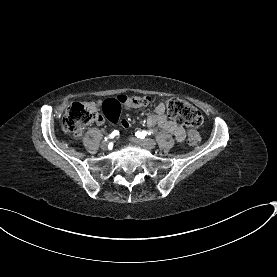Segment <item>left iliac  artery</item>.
<instances>
[{
    "label": "left iliac artery",
    "mask_w": 277,
    "mask_h": 277,
    "mask_svg": "<svg viewBox=\"0 0 277 277\" xmlns=\"http://www.w3.org/2000/svg\"><path fill=\"white\" fill-rule=\"evenodd\" d=\"M153 132L152 131H137L135 133L137 138L144 139L147 135H151Z\"/></svg>",
    "instance_id": "obj_1"
}]
</instances>
